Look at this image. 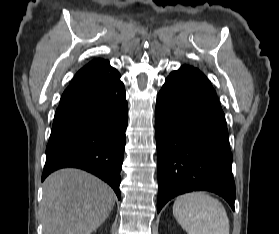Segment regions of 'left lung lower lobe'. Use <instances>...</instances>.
Segmentation results:
<instances>
[{
	"mask_svg": "<svg viewBox=\"0 0 279 234\" xmlns=\"http://www.w3.org/2000/svg\"><path fill=\"white\" fill-rule=\"evenodd\" d=\"M159 212L173 197L197 190L222 196L234 210L235 183L225 116L198 69L173 71L157 96Z\"/></svg>",
	"mask_w": 279,
	"mask_h": 234,
	"instance_id": "0a47b994",
	"label": "left lung lower lobe"
}]
</instances>
